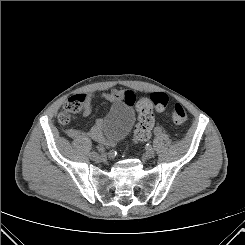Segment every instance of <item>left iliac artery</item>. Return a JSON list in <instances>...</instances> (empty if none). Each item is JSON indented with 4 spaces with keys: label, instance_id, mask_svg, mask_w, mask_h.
Masks as SVG:
<instances>
[{
    "label": "left iliac artery",
    "instance_id": "44dca946",
    "mask_svg": "<svg viewBox=\"0 0 245 245\" xmlns=\"http://www.w3.org/2000/svg\"><path fill=\"white\" fill-rule=\"evenodd\" d=\"M155 133L156 134H161L162 133V127L161 126H156L155 127Z\"/></svg>",
    "mask_w": 245,
    "mask_h": 245
}]
</instances>
